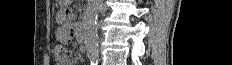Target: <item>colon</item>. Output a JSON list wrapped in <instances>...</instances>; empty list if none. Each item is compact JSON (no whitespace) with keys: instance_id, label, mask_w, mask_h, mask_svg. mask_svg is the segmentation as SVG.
Returning a JSON list of instances; mask_svg holds the SVG:
<instances>
[{"instance_id":"1","label":"colon","mask_w":232,"mask_h":65,"mask_svg":"<svg viewBox=\"0 0 232 65\" xmlns=\"http://www.w3.org/2000/svg\"><path fill=\"white\" fill-rule=\"evenodd\" d=\"M68 55H69V51L64 45L58 44L57 46H55L54 57L58 64H61L64 61H66Z\"/></svg>"}]
</instances>
